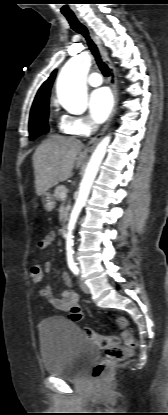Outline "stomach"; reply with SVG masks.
I'll use <instances>...</instances> for the list:
<instances>
[{
    "label": "stomach",
    "mask_w": 168,
    "mask_h": 415,
    "mask_svg": "<svg viewBox=\"0 0 168 415\" xmlns=\"http://www.w3.org/2000/svg\"><path fill=\"white\" fill-rule=\"evenodd\" d=\"M42 204L46 211L50 212L55 207V201L50 193H45L42 195Z\"/></svg>",
    "instance_id": "obj_1"
}]
</instances>
